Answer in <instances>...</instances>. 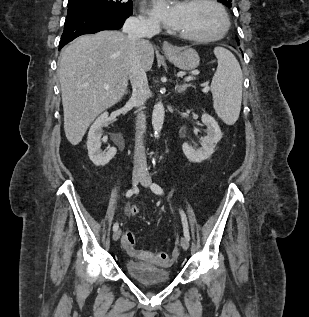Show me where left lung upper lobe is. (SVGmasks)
<instances>
[{
    "instance_id": "1",
    "label": "left lung upper lobe",
    "mask_w": 309,
    "mask_h": 317,
    "mask_svg": "<svg viewBox=\"0 0 309 317\" xmlns=\"http://www.w3.org/2000/svg\"><path fill=\"white\" fill-rule=\"evenodd\" d=\"M218 1H220L221 3H223L224 5H226L228 8H231V7H232V5H231L232 0H218ZM236 41L238 42L239 40L236 39Z\"/></svg>"
}]
</instances>
